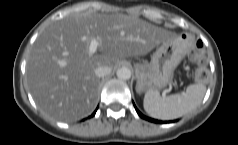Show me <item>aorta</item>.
Segmentation results:
<instances>
[{
    "mask_svg": "<svg viewBox=\"0 0 238 145\" xmlns=\"http://www.w3.org/2000/svg\"><path fill=\"white\" fill-rule=\"evenodd\" d=\"M116 75L121 80H128L131 78V70L127 67H121L116 71Z\"/></svg>",
    "mask_w": 238,
    "mask_h": 145,
    "instance_id": "obj_1",
    "label": "aorta"
}]
</instances>
